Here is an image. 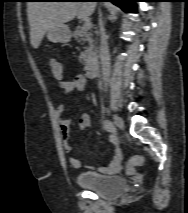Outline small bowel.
Segmentation results:
<instances>
[{"instance_id": "c3829d8e", "label": "small bowel", "mask_w": 188, "mask_h": 213, "mask_svg": "<svg viewBox=\"0 0 188 213\" xmlns=\"http://www.w3.org/2000/svg\"><path fill=\"white\" fill-rule=\"evenodd\" d=\"M60 88L65 95H70L75 91H82L86 87V78L82 75H78L72 80H64L63 78L60 79ZM56 115L60 120V132L61 136L64 140V148L66 152H71L73 150V146L69 143L70 138V118L65 116V107L63 104H60L56 108ZM90 126V117L88 114H83L80 118V127L81 129L85 130ZM109 143L115 146V152L111 162L99 168L101 173L111 174L116 173L121 169L122 163V152L118 145V140L115 136L109 137ZM69 163L74 168H81L83 167V163L77 157H70ZM91 168V167H88Z\"/></svg>"}]
</instances>
